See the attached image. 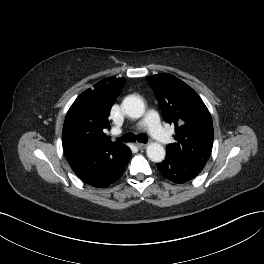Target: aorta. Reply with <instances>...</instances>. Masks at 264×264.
<instances>
[{
    "mask_svg": "<svg viewBox=\"0 0 264 264\" xmlns=\"http://www.w3.org/2000/svg\"><path fill=\"white\" fill-rule=\"evenodd\" d=\"M125 113L132 118H140L145 111L144 102L135 95L127 96L122 102ZM148 158L153 162H162L165 158L164 147L156 142L148 145L146 150Z\"/></svg>",
    "mask_w": 264,
    "mask_h": 264,
    "instance_id": "obj_1",
    "label": "aorta"
}]
</instances>
